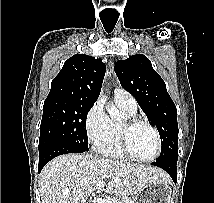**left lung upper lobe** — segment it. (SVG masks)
I'll return each instance as SVG.
<instances>
[{
  "instance_id": "1",
  "label": "left lung upper lobe",
  "mask_w": 214,
  "mask_h": 203,
  "mask_svg": "<svg viewBox=\"0 0 214 203\" xmlns=\"http://www.w3.org/2000/svg\"><path fill=\"white\" fill-rule=\"evenodd\" d=\"M115 73L121 86L136 98L149 123L159 131L162 149L157 160L178 159L177 109L151 61L142 54L133 55L117 61Z\"/></svg>"
}]
</instances>
